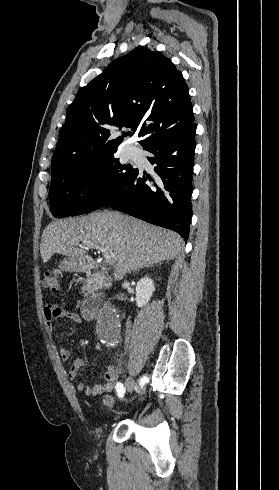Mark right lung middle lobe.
Wrapping results in <instances>:
<instances>
[{
  "mask_svg": "<svg viewBox=\"0 0 279 490\" xmlns=\"http://www.w3.org/2000/svg\"><path fill=\"white\" fill-rule=\"evenodd\" d=\"M115 152L111 150L51 180L49 200L54 217L86 214L103 207L138 172L130 164H121Z\"/></svg>",
  "mask_w": 279,
  "mask_h": 490,
  "instance_id": "obj_1",
  "label": "right lung middle lobe"
}]
</instances>
